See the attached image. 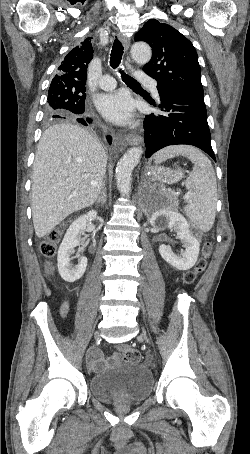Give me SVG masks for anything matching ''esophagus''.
Returning a JSON list of instances; mask_svg holds the SVG:
<instances>
[{
    "label": "esophagus",
    "instance_id": "1",
    "mask_svg": "<svg viewBox=\"0 0 250 454\" xmlns=\"http://www.w3.org/2000/svg\"><path fill=\"white\" fill-rule=\"evenodd\" d=\"M119 39L122 42L125 50H128L130 47V38L120 34ZM126 141L130 145H138L142 142V138L136 133H129L126 135Z\"/></svg>",
    "mask_w": 250,
    "mask_h": 454
}]
</instances>
